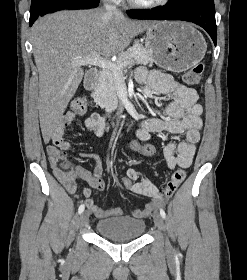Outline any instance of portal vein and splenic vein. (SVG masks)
<instances>
[{
	"label": "portal vein and splenic vein",
	"mask_w": 247,
	"mask_h": 280,
	"mask_svg": "<svg viewBox=\"0 0 247 280\" xmlns=\"http://www.w3.org/2000/svg\"><path fill=\"white\" fill-rule=\"evenodd\" d=\"M73 66H85V65H94L98 66L103 69H111V70H118L121 65L116 64V62H112L111 60L101 57L98 54H90L86 57L78 59L72 62Z\"/></svg>",
	"instance_id": "obj_1"
}]
</instances>
